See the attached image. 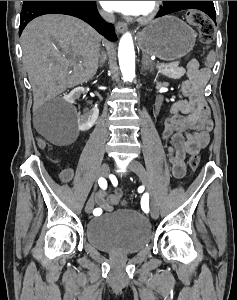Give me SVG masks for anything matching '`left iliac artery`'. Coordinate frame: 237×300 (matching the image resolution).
Segmentation results:
<instances>
[{"label":"left iliac artery","mask_w":237,"mask_h":300,"mask_svg":"<svg viewBox=\"0 0 237 300\" xmlns=\"http://www.w3.org/2000/svg\"><path fill=\"white\" fill-rule=\"evenodd\" d=\"M148 202H149V196H148V194H144L141 199V207H142L143 211L146 213L149 212Z\"/></svg>","instance_id":"44dca946"}]
</instances>
